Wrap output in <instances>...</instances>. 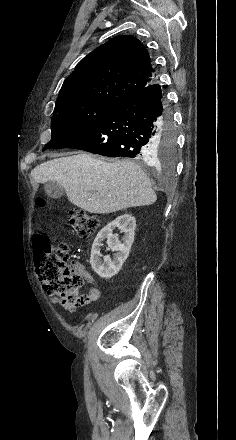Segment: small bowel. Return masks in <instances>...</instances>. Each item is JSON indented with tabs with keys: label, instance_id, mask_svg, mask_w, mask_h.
<instances>
[{
	"label": "small bowel",
	"instance_id": "c3829d8e",
	"mask_svg": "<svg viewBox=\"0 0 236 440\" xmlns=\"http://www.w3.org/2000/svg\"><path fill=\"white\" fill-rule=\"evenodd\" d=\"M36 252H35V256H36ZM74 265L83 274L84 279L87 281V283L91 284V288L88 291V293L83 295L85 297L84 304L86 305L98 300L100 297V289L95 285L93 276L88 271L85 270L82 264L76 263Z\"/></svg>",
	"mask_w": 236,
	"mask_h": 440
}]
</instances>
